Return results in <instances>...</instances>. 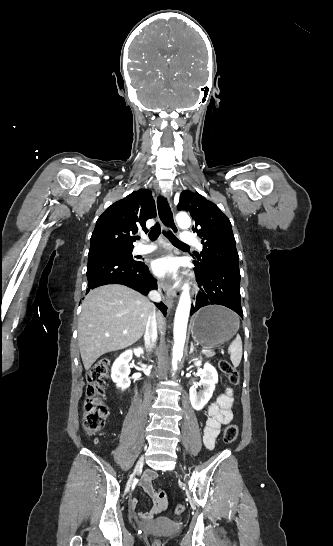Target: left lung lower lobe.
I'll return each mask as SVG.
<instances>
[{"label": "left lung lower lobe", "instance_id": "1", "mask_svg": "<svg viewBox=\"0 0 333 546\" xmlns=\"http://www.w3.org/2000/svg\"><path fill=\"white\" fill-rule=\"evenodd\" d=\"M194 271L200 290L191 306V315L201 307L218 304L230 308L243 318L239 265L195 268Z\"/></svg>", "mask_w": 333, "mask_h": 546}]
</instances>
